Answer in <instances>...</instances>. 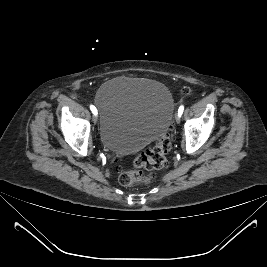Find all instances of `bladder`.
<instances>
[{
	"label": "bladder",
	"mask_w": 267,
	"mask_h": 267,
	"mask_svg": "<svg viewBox=\"0 0 267 267\" xmlns=\"http://www.w3.org/2000/svg\"><path fill=\"white\" fill-rule=\"evenodd\" d=\"M103 145L129 153L160 138L169 128L174 101L170 90L153 80L116 77L95 98Z\"/></svg>",
	"instance_id": "bladder-1"
}]
</instances>
